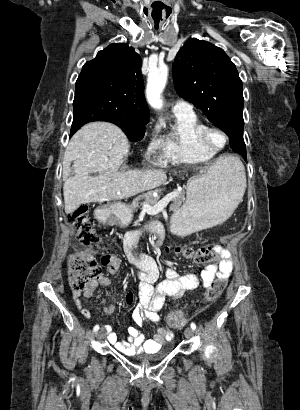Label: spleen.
I'll return each instance as SVG.
<instances>
[{
    "mask_svg": "<svg viewBox=\"0 0 300 410\" xmlns=\"http://www.w3.org/2000/svg\"><path fill=\"white\" fill-rule=\"evenodd\" d=\"M225 168L234 169L236 172V187L239 192V201L242 199L246 188L245 168L240 160L230 157L225 163Z\"/></svg>",
    "mask_w": 300,
    "mask_h": 410,
    "instance_id": "3e777b00",
    "label": "spleen"
}]
</instances>
